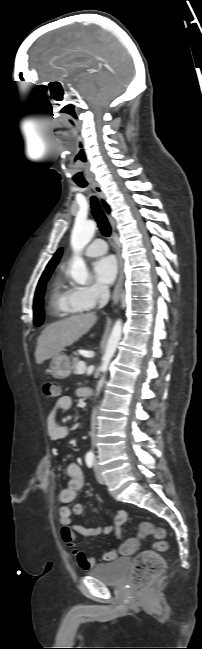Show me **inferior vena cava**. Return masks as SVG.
<instances>
[{
    "instance_id": "1",
    "label": "inferior vena cava",
    "mask_w": 202,
    "mask_h": 649,
    "mask_svg": "<svg viewBox=\"0 0 202 649\" xmlns=\"http://www.w3.org/2000/svg\"><path fill=\"white\" fill-rule=\"evenodd\" d=\"M98 293H99V308L104 307L110 298V290L108 286L106 285H98ZM91 438H92V445H95V421H92V426H91Z\"/></svg>"
}]
</instances>
